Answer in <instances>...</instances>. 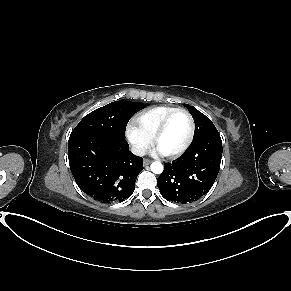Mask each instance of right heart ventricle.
Segmentation results:
<instances>
[{
    "mask_svg": "<svg viewBox=\"0 0 291 291\" xmlns=\"http://www.w3.org/2000/svg\"><path fill=\"white\" fill-rule=\"evenodd\" d=\"M175 109L177 108L171 106H156L139 113L135 117L134 122L152 139L162 120Z\"/></svg>",
    "mask_w": 291,
    "mask_h": 291,
    "instance_id": "obj_1",
    "label": "right heart ventricle"
}]
</instances>
